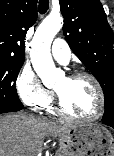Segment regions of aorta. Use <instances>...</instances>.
Masks as SVG:
<instances>
[{
  "mask_svg": "<svg viewBox=\"0 0 114 156\" xmlns=\"http://www.w3.org/2000/svg\"><path fill=\"white\" fill-rule=\"evenodd\" d=\"M62 25L63 19L60 15H50L39 25L33 37L31 62L46 86L53 84L57 77L62 75V72L55 68L50 52L51 43Z\"/></svg>",
  "mask_w": 114,
  "mask_h": 156,
  "instance_id": "aorta-1",
  "label": "aorta"
}]
</instances>
